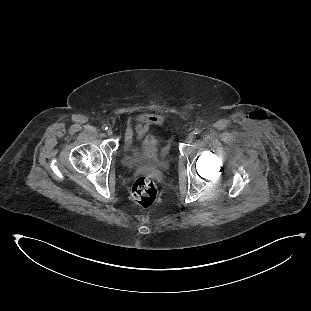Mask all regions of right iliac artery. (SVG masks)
<instances>
[{"mask_svg": "<svg viewBox=\"0 0 311 311\" xmlns=\"http://www.w3.org/2000/svg\"><path fill=\"white\" fill-rule=\"evenodd\" d=\"M102 129H103V130H107V129H108V126H107L106 124H103V125H102Z\"/></svg>", "mask_w": 311, "mask_h": 311, "instance_id": "right-iliac-artery-1", "label": "right iliac artery"}]
</instances>
